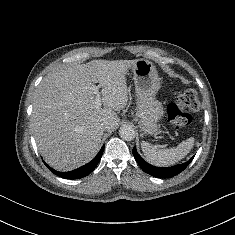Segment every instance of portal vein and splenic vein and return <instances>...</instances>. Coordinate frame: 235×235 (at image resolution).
<instances>
[{
  "instance_id": "obj_1",
  "label": "portal vein and splenic vein",
  "mask_w": 235,
  "mask_h": 235,
  "mask_svg": "<svg viewBox=\"0 0 235 235\" xmlns=\"http://www.w3.org/2000/svg\"><path fill=\"white\" fill-rule=\"evenodd\" d=\"M93 90H94V93L96 95L95 104L99 108V107H101V96H100V93H99V88L97 86H95L93 88Z\"/></svg>"
}]
</instances>
